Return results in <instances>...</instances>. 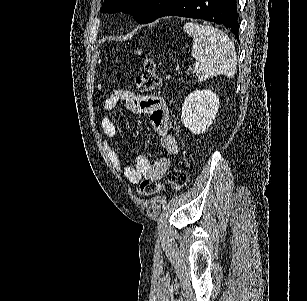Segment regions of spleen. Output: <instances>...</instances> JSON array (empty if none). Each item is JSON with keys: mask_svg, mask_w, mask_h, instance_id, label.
Wrapping results in <instances>:
<instances>
[{"mask_svg": "<svg viewBox=\"0 0 307 301\" xmlns=\"http://www.w3.org/2000/svg\"><path fill=\"white\" fill-rule=\"evenodd\" d=\"M183 28L193 38L192 56L198 62L199 82L217 74H225L228 78L234 76L237 66L236 50L228 34L214 26L197 22H186Z\"/></svg>", "mask_w": 307, "mask_h": 301, "instance_id": "3e777b00", "label": "spleen"}]
</instances>
